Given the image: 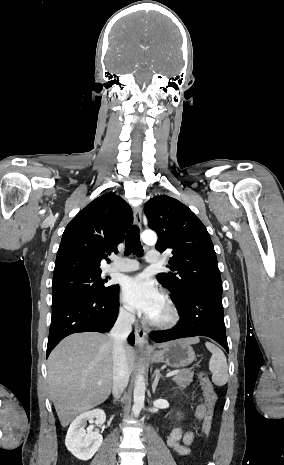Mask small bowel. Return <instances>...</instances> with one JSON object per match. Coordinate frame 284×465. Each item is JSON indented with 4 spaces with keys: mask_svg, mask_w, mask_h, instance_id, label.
<instances>
[{
    "mask_svg": "<svg viewBox=\"0 0 284 465\" xmlns=\"http://www.w3.org/2000/svg\"><path fill=\"white\" fill-rule=\"evenodd\" d=\"M196 420H205L206 411L205 404L200 403L195 411ZM194 439L193 431H183L181 428H175L167 439L168 446L180 456H188L190 454V444Z\"/></svg>",
    "mask_w": 284,
    "mask_h": 465,
    "instance_id": "1",
    "label": "small bowel"
}]
</instances>
